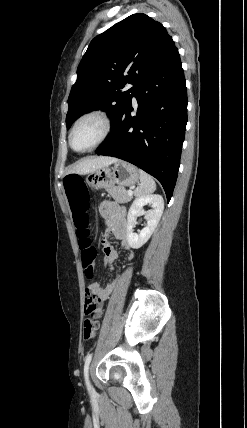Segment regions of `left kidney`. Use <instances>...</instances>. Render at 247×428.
<instances>
[{
  "label": "left kidney",
  "instance_id": "obj_1",
  "mask_svg": "<svg viewBox=\"0 0 247 428\" xmlns=\"http://www.w3.org/2000/svg\"><path fill=\"white\" fill-rule=\"evenodd\" d=\"M147 204L152 207L151 210L144 214L147 225L137 234L133 230L136 224V217L144 212L143 207ZM163 209L164 200L161 195H144L137 197L133 201L127 215V242L131 248L138 249L149 240L158 225Z\"/></svg>",
  "mask_w": 247,
  "mask_h": 428
}]
</instances>
